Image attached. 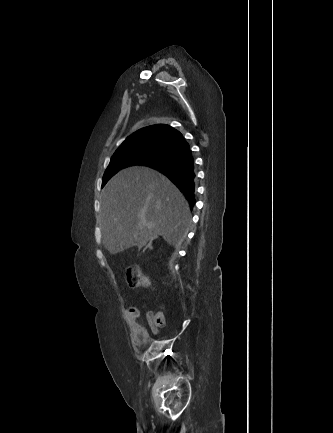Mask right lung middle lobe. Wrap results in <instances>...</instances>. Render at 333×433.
I'll return each mask as SVG.
<instances>
[{
  "instance_id": "right-lung-middle-lobe-1",
  "label": "right lung middle lobe",
  "mask_w": 333,
  "mask_h": 433,
  "mask_svg": "<svg viewBox=\"0 0 333 433\" xmlns=\"http://www.w3.org/2000/svg\"><path fill=\"white\" fill-rule=\"evenodd\" d=\"M171 153V149L151 143L119 147L114 153L103 176L102 186L119 170L131 165H146L162 159Z\"/></svg>"
}]
</instances>
